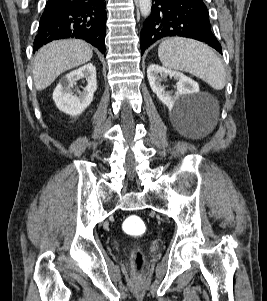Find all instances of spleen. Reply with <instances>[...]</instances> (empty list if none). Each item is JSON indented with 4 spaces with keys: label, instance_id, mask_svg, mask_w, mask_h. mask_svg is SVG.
<instances>
[{
    "label": "spleen",
    "instance_id": "obj_1",
    "mask_svg": "<svg viewBox=\"0 0 267 301\" xmlns=\"http://www.w3.org/2000/svg\"><path fill=\"white\" fill-rule=\"evenodd\" d=\"M162 65L169 69L189 72L202 79L215 90L226 84L222 62L208 45L189 38L171 37L158 47Z\"/></svg>",
    "mask_w": 267,
    "mask_h": 301
}]
</instances>
